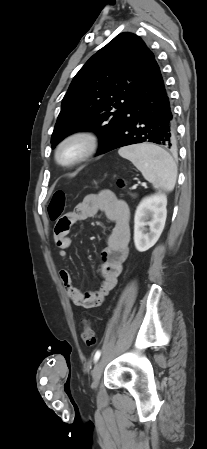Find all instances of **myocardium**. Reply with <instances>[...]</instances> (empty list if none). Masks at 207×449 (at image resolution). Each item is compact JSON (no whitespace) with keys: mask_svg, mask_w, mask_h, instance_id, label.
Instances as JSON below:
<instances>
[{"mask_svg":"<svg viewBox=\"0 0 207 449\" xmlns=\"http://www.w3.org/2000/svg\"><path fill=\"white\" fill-rule=\"evenodd\" d=\"M76 143L81 145L80 153L71 160L63 161L60 157L63 149L71 144ZM98 147L99 139L93 131L87 129L75 130L67 134L57 144L54 153L55 161L62 167H73L93 157L97 152Z\"/></svg>","mask_w":207,"mask_h":449,"instance_id":"1","label":"myocardium"}]
</instances>
